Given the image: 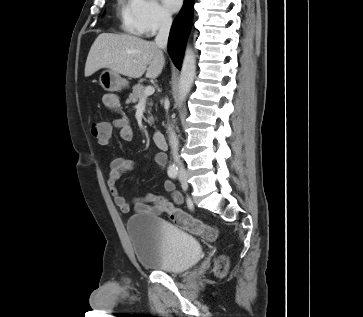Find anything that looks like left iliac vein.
<instances>
[{"label": "left iliac vein", "instance_id": "left-iliac-vein-1", "mask_svg": "<svg viewBox=\"0 0 363 317\" xmlns=\"http://www.w3.org/2000/svg\"><path fill=\"white\" fill-rule=\"evenodd\" d=\"M180 182H181V187H182V189H183V190H187V188H188V183H187V180H186V176H185V174H182V175L180 176Z\"/></svg>", "mask_w": 363, "mask_h": 317}]
</instances>
